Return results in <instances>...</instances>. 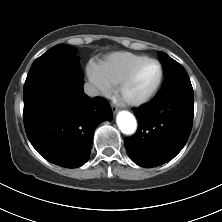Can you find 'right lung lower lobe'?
I'll return each instance as SVG.
<instances>
[{
  "instance_id": "right-lung-lower-lobe-1",
  "label": "right lung lower lobe",
  "mask_w": 222,
  "mask_h": 222,
  "mask_svg": "<svg viewBox=\"0 0 222 222\" xmlns=\"http://www.w3.org/2000/svg\"><path fill=\"white\" fill-rule=\"evenodd\" d=\"M77 80L72 99L43 96L24 102L29 141L46 160L65 168L87 162L95 128L112 119L109 104L101 98L91 100L83 93V79Z\"/></svg>"
}]
</instances>
